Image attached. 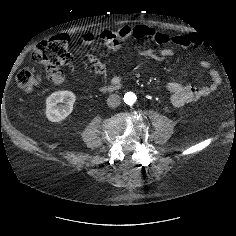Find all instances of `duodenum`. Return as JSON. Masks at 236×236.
Returning a JSON list of instances; mask_svg holds the SVG:
<instances>
[{
	"label": "duodenum",
	"mask_w": 236,
	"mask_h": 236,
	"mask_svg": "<svg viewBox=\"0 0 236 236\" xmlns=\"http://www.w3.org/2000/svg\"><path fill=\"white\" fill-rule=\"evenodd\" d=\"M120 88V83L119 82H113L112 84L102 86L101 91L103 92H113L115 90H118Z\"/></svg>",
	"instance_id": "obj_1"
}]
</instances>
